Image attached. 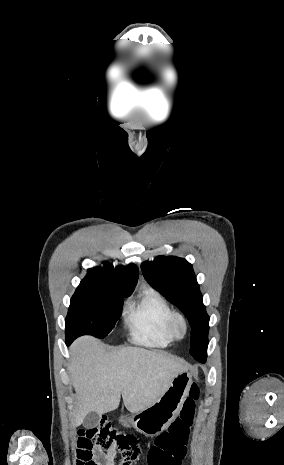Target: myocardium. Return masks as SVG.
<instances>
[{"label": "myocardium", "instance_id": "f54148a6", "mask_svg": "<svg viewBox=\"0 0 284 465\" xmlns=\"http://www.w3.org/2000/svg\"><path fill=\"white\" fill-rule=\"evenodd\" d=\"M178 322H180L183 326V329H184L183 336H179L175 331V327ZM188 331H189V325H188L187 318L181 313H174L168 321V333L170 337L175 341H180V340H183L187 336Z\"/></svg>", "mask_w": 284, "mask_h": 465}]
</instances>
